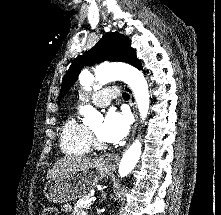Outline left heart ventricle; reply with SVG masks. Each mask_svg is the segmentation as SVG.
<instances>
[{
    "label": "left heart ventricle",
    "mask_w": 221,
    "mask_h": 215,
    "mask_svg": "<svg viewBox=\"0 0 221 215\" xmlns=\"http://www.w3.org/2000/svg\"><path fill=\"white\" fill-rule=\"evenodd\" d=\"M100 128H101V124H98L92 128V131L99 136Z\"/></svg>",
    "instance_id": "1"
}]
</instances>
